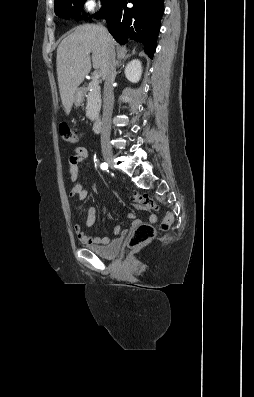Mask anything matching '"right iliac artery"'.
<instances>
[{
	"instance_id": "82829eb1",
	"label": "right iliac artery",
	"mask_w": 254,
	"mask_h": 397,
	"mask_svg": "<svg viewBox=\"0 0 254 397\" xmlns=\"http://www.w3.org/2000/svg\"><path fill=\"white\" fill-rule=\"evenodd\" d=\"M100 167H101L102 170H107L108 169V164L105 163V162L101 163Z\"/></svg>"
}]
</instances>
